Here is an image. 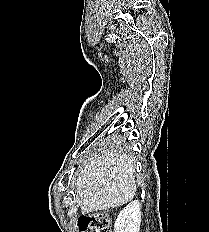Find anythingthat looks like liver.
Returning <instances> with one entry per match:
<instances>
[{"label": "liver", "instance_id": "obj_1", "mask_svg": "<svg viewBox=\"0 0 209 232\" xmlns=\"http://www.w3.org/2000/svg\"><path fill=\"white\" fill-rule=\"evenodd\" d=\"M133 159L126 154L104 153L83 166L75 179L82 213L114 208L131 201L136 193Z\"/></svg>", "mask_w": 209, "mask_h": 232}]
</instances>
